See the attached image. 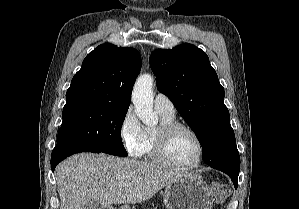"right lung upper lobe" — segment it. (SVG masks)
<instances>
[{
	"mask_svg": "<svg viewBox=\"0 0 299 209\" xmlns=\"http://www.w3.org/2000/svg\"><path fill=\"white\" fill-rule=\"evenodd\" d=\"M141 56L134 48L102 44L90 52L66 92L65 106L128 107Z\"/></svg>",
	"mask_w": 299,
	"mask_h": 209,
	"instance_id": "obj_1",
	"label": "right lung upper lobe"
}]
</instances>
